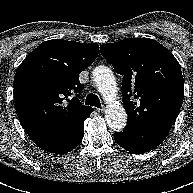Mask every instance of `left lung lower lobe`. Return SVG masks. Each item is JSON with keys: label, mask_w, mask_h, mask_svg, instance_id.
I'll return each mask as SVG.
<instances>
[{"label": "left lung lower lobe", "mask_w": 193, "mask_h": 193, "mask_svg": "<svg viewBox=\"0 0 193 193\" xmlns=\"http://www.w3.org/2000/svg\"><path fill=\"white\" fill-rule=\"evenodd\" d=\"M171 127L167 124L157 123L126 126L124 131L114 134V139L118 145L129 152L146 153L165 140Z\"/></svg>", "instance_id": "left-lung-lower-lobe-1"}]
</instances>
